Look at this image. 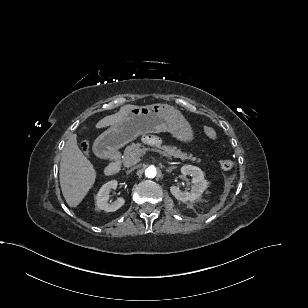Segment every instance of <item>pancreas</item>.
I'll return each mask as SVG.
<instances>
[{
    "label": "pancreas",
    "instance_id": "1",
    "mask_svg": "<svg viewBox=\"0 0 308 308\" xmlns=\"http://www.w3.org/2000/svg\"><path fill=\"white\" fill-rule=\"evenodd\" d=\"M146 150V148H141V143H132L131 145L127 146L124 150L123 157H122V163L125 167H130L135 164H137L140 160V156L143 154V152ZM159 153L163 154L166 157H175L179 158L181 160H192L200 162V159H196L195 157H192V155H188L187 153L182 152L180 149H177L175 146L170 145H162L159 146Z\"/></svg>",
    "mask_w": 308,
    "mask_h": 308
}]
</instances>
